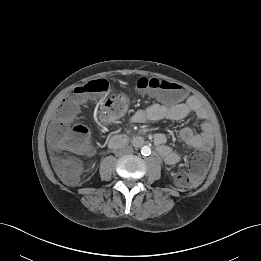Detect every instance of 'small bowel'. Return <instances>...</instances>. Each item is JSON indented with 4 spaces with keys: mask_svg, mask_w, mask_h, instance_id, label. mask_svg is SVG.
<instances>
[{
    "mask_svg": "<svg viewBox=\"0 0 261 261\" xmlns=\"http://www.w3.org/2000/svg\"><path fill=\"white\" fill-rule=\"evenodd\" d=\"M190 114L197 115L201 120V131L186 127L180 130V140L189 148L209 150L213 146L212 127L206 120V112L199 99L191 96L186 102L175 105H163L154 103L145 109L136 111L131 120L135 123L147 121H180ZM167 138L163 133L154 135V143L161 158L170 165L180 161L177 151L167 145Z\"/></svg>",
    "mask_w": 261,
    "mask_h": 261,
    "instance_id": "1",
    "label": "small bowel"
}]
</instances>
